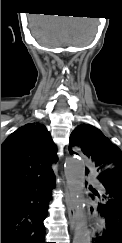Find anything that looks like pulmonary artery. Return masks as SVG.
Returning <instances> with one entry per match:
<instances>
[{
	"instance_id": "pulmonary-artery-1",
	"label": "pulmonary artery",
	"mask_w": 122,
	"mask_h": 243,
	"mask_svg": "<svg viewBox=\"0 0 122 243\" xmlns=\"http://www.w3.org/2000/svg\"><path fill=\"white\" fill-rule=\"evenodd\" d=\"M91 180H92V183H93L95 186H97V187L100 186V183H99L96 179L92 178Z\"/></svg>"
}]
</instances>
